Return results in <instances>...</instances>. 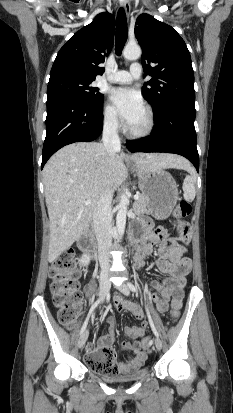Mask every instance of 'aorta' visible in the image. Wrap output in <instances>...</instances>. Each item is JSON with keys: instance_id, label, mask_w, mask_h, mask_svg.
I'll list each match as a JSON object with an SVG mask.
<instances>
[{"instance_id": "1", "label": "aorta", "mask_w": 233, "mask_h": 413, "mask_svg": "<svg viewBox=\"0 0 233 413\" xmlns=\"http://www.w3.org/2000/svg\"><path fill=\"white\" fill-rule=\"evenodd\" d=\"M141 54L142 50L138 45H127L123 50V56L125 59L128 60H137L141 57ZM127 204L128 197L126 196V194H123L118 205V212L116 216V227L119 236H123L124 234L126 225Z\"/></svg>"}]
</instances>
